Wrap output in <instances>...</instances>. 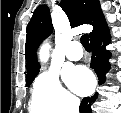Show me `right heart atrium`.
I'll return each mask as SVG.
<instances>
[{"label":"right heart atrium","mask_w":121,"mask_h":113,"mask_svg":"<svg viewBox=\"0 0 121 113\" xmlns=\"http://www.w3.org/2000/svg\"><path fill=\"white\" fill-rule=\"evenodd\" d=\"M33 95L48 113H70L78 108V99L64 88L55 71L39 75Z\"/></svg>","instance_id":"d8ad5b80"}]
</instances>
